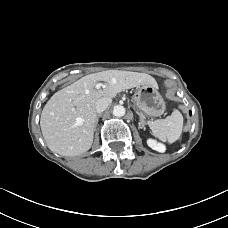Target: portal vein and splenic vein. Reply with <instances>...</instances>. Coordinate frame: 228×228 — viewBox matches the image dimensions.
Returning <instances> with one entry per match:
<instances>
[{
    "mask_svg": "<svg viewBox=\"0 0 228 228\" xmlns=\"http://www.w3.org/2000/svg\"><path fill=\"white\" fill-rule=\"evenodd\" d=\"M100 87H105V85L104 84H102V83H98L97 85H96V88H100Z\"/></svg>",
    "mask_w": 228,
    "mask_h": 228,
    "instance_id": "1",
    "label": "portal vein and splenic vein"
}]
</instances>
